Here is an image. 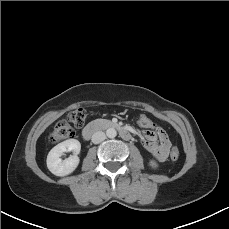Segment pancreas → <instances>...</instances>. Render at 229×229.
<instances>
[{
	"label": "pancreas",
	"mask_w": 229,
	"mask_h": 229,
	"mask_svg": "<svg viewBox=\"0 0 229 229\" xmlns=\"http://www.w3.org/2000/svg\"><path fill=\"white\" fill-rule=\"evenodd\" d=\"M95 123L98 124V125L103 126V125L111 124V121L106 120V119H97V120H95Z\"/></svg>",
	"instance_id": "obj_1"
}]
</instances>
